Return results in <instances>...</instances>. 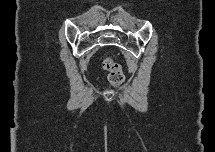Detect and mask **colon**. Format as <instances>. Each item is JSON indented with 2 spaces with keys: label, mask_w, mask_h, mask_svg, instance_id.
<instances>
[{
  "label": "colon",
  "mask_w": 215,
  "mask_h": 152,
  "mask_svg": "<svg viewBox=\"0 0 215 152\" xmlns=\"http://www.w3.org/2000/svg\"><path fill=\"white\" fill-rule=\"evenodd\" d=\"M102 66L104 70L108 71L109 83L115 88L121 86L125 79L121 66L110 57L103 60Z\"/></svg>",
  "instance_id": "colon-1"
}]
</instances>
